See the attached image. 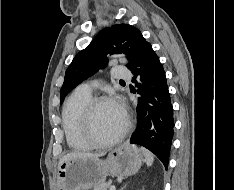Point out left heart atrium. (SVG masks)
Listing matches in <instances>:
<instances>
[{"label":"left heart atrium","mask_w":234,"mask_h":190,"mask_svg":"<svg viewBox=\"0 0 234 190\" xmlns=\"http://www.w3.org/2000/svg\"><path fill=\"white\" fill-rule=\"evenodd\" d=\"M114 103L117 106L118 110L121 112V114L123 116H125V113H124V110H123L122 106L118 102H114Z\"/></svg>","instance_id":"1"}]
</instances>
